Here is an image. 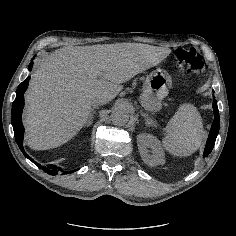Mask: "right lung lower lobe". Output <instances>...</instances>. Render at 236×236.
Listing matches in <instances>:
<instances>
[{
	"instance_id": "obj_1",
	"label": "right lung lower lobe",
	"mask_w": 236,
	"mask_h": 236,
	"mask_svg": "<svg viewBox=\"0 0 236 236\" xmlns=\"http://www.w3.org/2000/svg\"><path fill=\"white\" fill-rule=\"evenodd\" d=\"M32 65H33V62H31L29 64V70L32 69ZM29 79H30V77H27L18 86V88L16 90V98H15L13 105H12L11 123H12L13 130H14L15 140H16L20 150L22 151V153L24 154V156L26 158H28L30 161H32L35 165H37L39 168L44 170L46 173H48L50 175H56L58 173V170H61L60 168L57 169V167H55V166H51V168H46L44 166H41L40 164L35 162L31 157H29V155L25 152V149H24V146L22 143L23 136H24V127L22 124L21 116H22V110L24 107V92L26 91V89L28 87ZM61 171L64 174H68L70 172H73L74 170L73 171L61 170Z\"/></svg>"
}]
</instances>
